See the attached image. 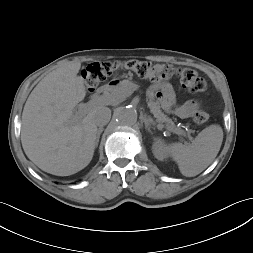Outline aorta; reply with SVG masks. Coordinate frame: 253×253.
<instances>
[{
    "label": "aorta",
    "instance_id": "aorta-1",
    "mask_svg": "<svg viewBox=\"0 0 253 253\" xmlns=\"http://www.w3.org/2000/svg\"><path fill=\"white\" fill-rule=\"evenodd\" d=\"M137 111L133 107H122L116 112V121L120 125L131 126L137 122Z\"/></svg>",
    "mask_w": 253,
    "mask_h": 253
}]
</instances>
